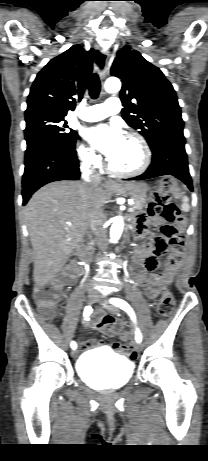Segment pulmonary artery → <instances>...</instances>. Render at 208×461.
I'll list each match as a JSON object with an SVG mask.
<instances>
[{
  "instance_id": "1",
  "label": "pulmonary artery",
  "mask_w": 208,
  "mask_h": 461,
  "mask_svg": "<svg viewBox=\"0 0 208 461\" xmlns=\"http://www.w3.org/2000/svg\"><path fill=\"white\" fill-rule=\"evenodd\" d=\"M121 103L116 97H109L104 103L89 106L79 113V117L88 122L106 118L120 111Z\"/></svg>"
}]
</instances>
